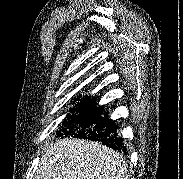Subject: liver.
<instances>
[{"mask_svg": "<svg viewBox=\"0 0 183 179\" xmlns=\"http://www.w3.org/2000/svg\"><path fill=\"white\" fill-rule=\"evenodd\" d=\"M122 155L94 141L66 138L43 152L35 179H127Z\"/></svg>", "mask_w": 183, "mask_h": 179, "instance_id": "1", "label": "liver"}]
</instances>
